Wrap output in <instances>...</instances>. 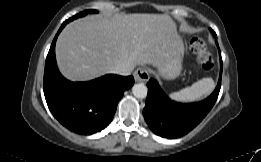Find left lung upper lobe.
I'll return each instance as SVG.
<instances>
[{
    "label": "left lung upper lobe",
    "instance_id": "5c2ea615",
    "mask_svg": "<svg viewBox=\"0 0 261 162\" xmlns=\"http://www.w3.org/2000/svg\"><path fill=\"white\" fill-rule=\"evenodd\" d=\"M211 32H212V34L214 35V37H216V34H215V32H214L213 30H211Z\"/></svg>",
    "mask_w": 261,
    "mask_h": 162
}]
</instances>
